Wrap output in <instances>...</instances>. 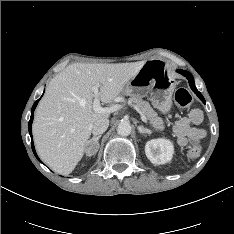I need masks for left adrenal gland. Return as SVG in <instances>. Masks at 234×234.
Here are the masks:
<instances>
[{
  "mask_svg": "<svg viewBox=\"0 0 234 234\" xmlns=\"http://www.w3.org/2000/svg\"><path fill=\"white\" fill-rule=\"evenodd\" d=\"M138 130L141 134H148L151 135L152 131L150 129H147L143 126H138Z\"/></svg>",
  "mask_w": 234,
  "mask_h": 234,
  "instance_id": "1",
  "label": "left adrenal gland"
}]
</instances>
